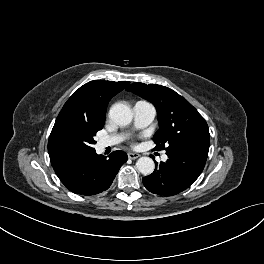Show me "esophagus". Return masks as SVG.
<instances>
[{
    "mask_svg": "<svg viewBox=\"0 0 264 264\" xmlns=\"http://www.w3.org/2000/svg\"><path fill=\"white\" fill-rule=\"evenodd\" d=\"M139 157H140V154H138V153H134V152H129L128 153V158L129 159H137Z\"/></svg>",
    "mask_w": 264,
    "mask_h": 264,
    "instance_id": "esophagus-1",
    "label": "esophagus"
}]
</instances>
